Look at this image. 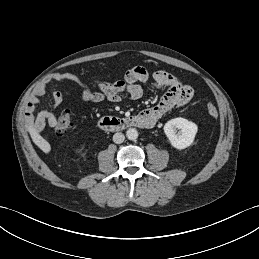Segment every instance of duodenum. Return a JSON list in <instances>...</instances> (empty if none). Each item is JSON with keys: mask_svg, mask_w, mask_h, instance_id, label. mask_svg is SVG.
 Instances as JSON below:
<instances>
[{"mask_svg": "<svg viewBox=\"0 0 259 259\" xmlns=\"http://www.w3.org/2000/svg\"><path fill=\"white\" fill-rule=\"evenodd\" d=\"M98 125L105 131H120L130 127L149 128L151 122L146 116L137 114L127 118L103 117Z\"/></svg>", "mask_w": 259, "mask_h": 259, "instance_id": "410a0bca", "label": "duodenum"}]
</instances>
